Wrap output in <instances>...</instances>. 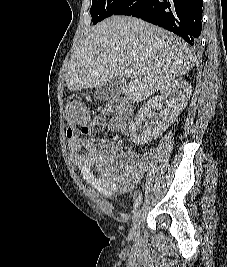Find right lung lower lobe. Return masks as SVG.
<instances>
[{"label":"right lung lower lobe","mask_w":227,"mask_h":267,"mask_svg":"<svg viewBox=\"0 0 227 267\" xmlns=\"http://www.w3.org/2000/svg\"><path fill=\"white\" fill-rule=\"evenodd\" d=\"M202 5L203 0H129L114 15L141 18L194 45L202 29Z\"/></svg>","instance_id":"right-lung-lower-lobe-1"}]
</instances>
